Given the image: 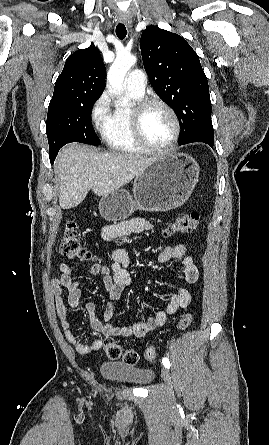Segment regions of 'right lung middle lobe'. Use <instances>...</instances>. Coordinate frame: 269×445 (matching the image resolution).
<instances>
[{
	"label": "right lung middle lobe",
	"mask_w": 269,
	"mask_h": 445,
	"mask_svg": "<svg viewBox=\"0 0 269 445\" xmlns=\"http://www.w3.org/2000/svg\"><path fill=\"white\" fill-rule=\"evenodd\" d=\"M98 98L76 97L50 101L46 134L51 162L60 148L69 142L78 141L92 145L101 143L91 123L92 107Z\"/></svg>",
	"instance_id": "dd1d6c3e"
}]
</instances>
